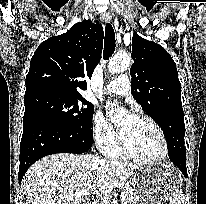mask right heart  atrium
Here are the masks:
<instances>
[{
    "label": "right heart atrium",
    "mask_w": 206,
    "mask_h": 204,
    "mask_svg": "<svg viewBox=\"0 0 206 204\" xmlns=\"http://www.w3.org/2000/svg\"><path fill=\"white\" fill-rule=\"evenodd\" d=\"M92 134L103 152H109L117 144V132L101 113L95 114L93 118Z\"/></svg>",
    "instance_id": "right-heart-atrium-1"
}]
</instances>
